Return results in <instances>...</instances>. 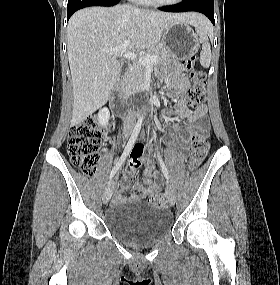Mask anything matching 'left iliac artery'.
<instances>
[{"instance_id": "44dca946", "label": "left iliac artery", "mask_w": 280, "mask_h": 285, "mask_svg": "<svg viewBox=\"0 0 280 285\" xmlns=\"http://www.w3.org/2000/svg\"><path fill=\"white\" fill-rule=\"evenodd\" d=\"M156 150H157V154H158V158H159V163H160V167H161V169H162V172H163V174H164L166 180L169 181L170 176H169L168 170H167V168H166V165H165V163L163 162V160H162V158H161V156H160V153H159V151H158V148H156Z\"/></svg>"}]
</instances>
